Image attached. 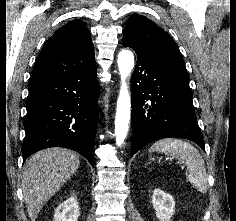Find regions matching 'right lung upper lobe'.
<instances>
[{
    "mask_svg": "<svg viewBox=\"0 0 236 221\" xmlns=\"http://www.w3.org/2000/svg\"><path fill=\"white\" fill-rule=\"evenodd\" d=\"M96 69L90 32L79 19L59 28L40 51L28 84Z\"/></svg>",
    "mask_w": 236,
    "mask_h": 221,
    "instance_id": "cb5924a9",
    "label": "right lung upper lobe"
}]
</instances>
